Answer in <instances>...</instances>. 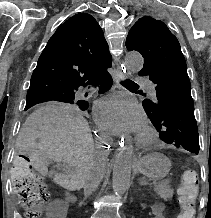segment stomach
Wrapping results in <instances>:
<instances>
[{"instance_id": "obj_1", "label": "stomach", "mask_w": 211, "mask_h": 218, "mask_svg": "<svg viewBox=\"0 0 211 218\" xmlns=\"http://www.w3.org/2000/svg\"><path fill=\"white\" fill-rule=\"evenodd\" d=\"M170 168V160L160 153H150L145 155L137 166L140 173L153 180H160L166 177Z\"/></svg>"}]
</instances>
